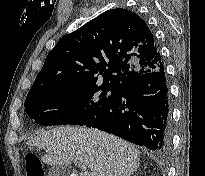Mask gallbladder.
Here are the masks:
<instances>
[{"instance_id":"1","label":"gallbladder","mask_w":205,"mask_h":176,"mask_svg":"<svg viewBox=\"0 0 205 176\" xmlns=\"http://www.w3.org/2000/svg\"><path fill=\"white\" fill-rule=\"evenodd\" d=\"M70 168L68 166L55 165L51 166L48 172V176H69Z\"/></svg>"}]
</instances>
